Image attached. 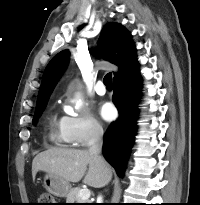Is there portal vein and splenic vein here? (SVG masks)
I'll return each mask as SVG.
<instances>
[{
	"label": "portal vein and splenic vein",
	"instance_id": "portal-vein-and-splenic-vein-1",
	"mask_svg": "<svg viewBox=\"0 0 200 205\" xmlns=\"http://www.w3.org/2000/svg\"><path fill=\"white\" fill-rule=\"evenodd\" d=\"M90 195H91V191L89 189H81L78 194V196L82 200H88L90 198Z\"/></svg>",
	"mask_w": 200,
	"mask_h": 205
}]
</instances>
